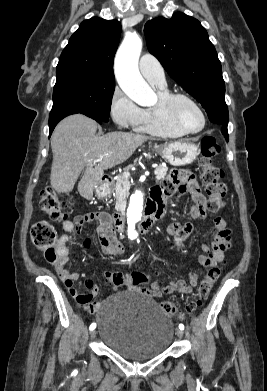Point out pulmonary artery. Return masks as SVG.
Listing matches in <instances>:
<instances>
[{
  "instance_id": "pulmonary-artery-1",
  "label": "pulmonary artery",
  "mask_w": 267,
  "mask_h": 391,
  "mask_svg": "<svg viewBox=\"0 0 267 391\" xmlns=\"http://www.w3.org/2000/svg\"><path fill=\"white\" fill-rule=\"evenodd\" d=\"M139 69L143 77L154 87H166L164 69L153 55L143 54L139 60Z\"/></svg>"
}]
</instances>
